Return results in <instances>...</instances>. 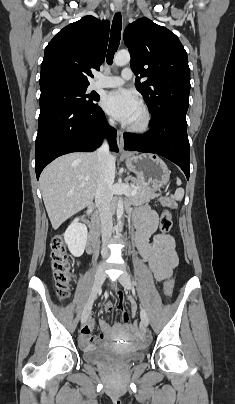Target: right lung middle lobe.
Instances as JSON below:
<instances>
[{"instance_id": "obj_1", "label": "right lung middle lobe", "mask_w": 235, "mask_h": 404, "mask_svg": "<svg viewBox=\"0 0 235 404\" xmlns=\"http://www.w3.org/2000/svg\"><path fill=\"white\" fill-rule=\"evenodd\" d=\"M40 106L46 104H62L72 108H86L95 105L99 96L95 93L85 94L87 86L68 82H49L40 85Z\"/></svg>"}]
</instances>
